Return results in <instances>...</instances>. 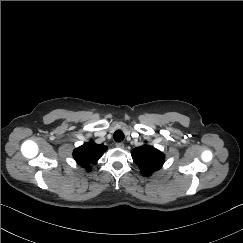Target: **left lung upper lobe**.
Returning <instances> with one entry per match:
<instances>
[{
  "instance_id": "1",
  "label": "left lung upper lobe",
  "mask_w": 243,
  "mask_h": 243,
  "mask_svg": "<svg viewBox=\"0 0 243 243\" xmlns=\"http://www.w3.org/2000/svg\"><path fill=\"white\" fill-rule=\"evenodd\" d=\"M133 161L141 169L143 176L159 170L164 163V154L154 147L142 145L131 151Z\"/></svg>"
}]
</instances>
